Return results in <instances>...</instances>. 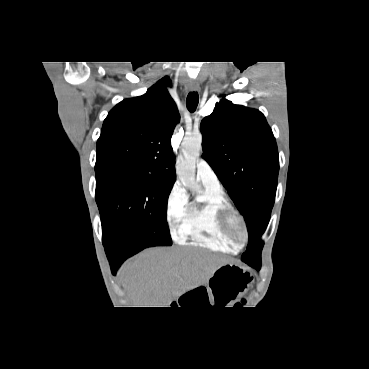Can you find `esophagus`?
Returning a JSON list of instances; mask_svg holds the SVG:
<instances>
[{"mask_svg":"<svg viewBox=\"0 0 369 369\" xmlns=\"http://www.w3.org/2000/svg\"><path fill=\"white\" fill-rule=\"evenodd\" d=\"M189 89L191 91H197L199 89V84L196 82H192L189 84Z\"/></svg>","mask_w":369,"mask_h":369,"instance_id":"1","label":"esophagus"}]
</instances>
